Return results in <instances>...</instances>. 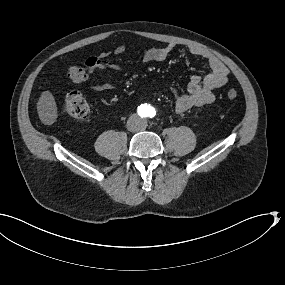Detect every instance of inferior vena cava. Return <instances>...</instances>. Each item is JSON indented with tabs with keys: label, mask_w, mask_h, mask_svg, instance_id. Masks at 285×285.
<instances>
[{
	"label": "inferior vena cava",
	"mask_w": 285,
	"mask_h": 285,
	"mask_svg": "<svg viewBox=\"0 0 285 285\" xmlns=\"http://www.w3.org/2000/svg\"><path fill=\"white\" fill-rule=\"evenodd\" d=\"M143 126L144 125L142 121L139 118H137V120L127 125V129L131 132H137L140 131L143 128Z\"/></svg>",
	"instance_id": "obj_1"
}]
</instances>
